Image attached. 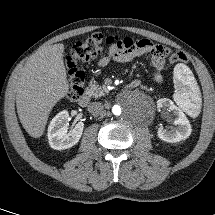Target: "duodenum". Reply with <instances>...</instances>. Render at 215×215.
Masks as SVG:
<instances>
[{"instance_id": "obj_1", "label": "duodenum", "mask_w": 215, "mask_h": 215, "mask_svg": "<svg viewBox=\"0 0 215 215\" xmlns=\"http://www.w3.org/2000/svg\"><path fill=\"white\" fill-rule=\"evenodd\" d=\"M138 84L139 82L137 80H134L128 85L127 89H133L137 87ZM89 102H90V96L87 93H83L78 99V104L81 107H86L89 104Z\"/></svg>"}]
</instances>
